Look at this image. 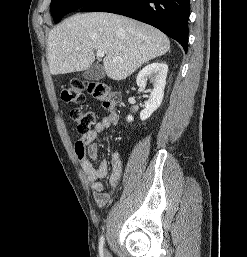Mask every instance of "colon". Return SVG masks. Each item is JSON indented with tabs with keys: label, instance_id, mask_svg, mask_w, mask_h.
<instances>
[{
	"label": "colon",
	"instance_id": "obj_1",
	"mask_svg": "<svg viewBox=\"0 0 247 257\" xmlns=\"http://www.w3.org/2000/svg\"><path fill=\"white\" fill-rule=\"evenodd\" d=\"M85 90L96 99L104 109L113 111L119 101L118 93L108 84L98 81L81 82L74 80L70 82L62 91L61 97L65 103L81 105L85 102ZM70 116L75 123L76 129L80 133H87L91 130L97 120V115L93 111L82 108H72Z\"/></svg>",
	"mask_w": 247,
	"mask_h": 257
}]
</instances>
